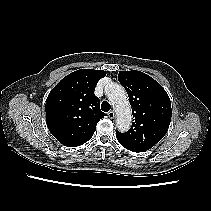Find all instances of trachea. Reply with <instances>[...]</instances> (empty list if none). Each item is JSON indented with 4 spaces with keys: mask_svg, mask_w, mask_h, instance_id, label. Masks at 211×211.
<instances>
[{
    "mask_svg": "<svg viewBox=\"0 0 211 211\" xmlns=\"http://www.w3.org/2000/svg\"><path fill=\"white\" fill-rule=\"evenodd\" d=\"M111 106L107 101H103L101 104V109L104 112H108L110 110Z\"/></svg>",
    "mask_w": 211,
    "mask_h": 211,
    "instance_id": "3493384b",
    "label": "trachea"
}]
</instances>
